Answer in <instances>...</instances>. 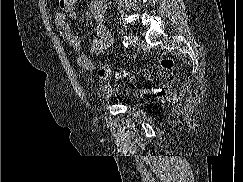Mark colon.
Masks as SVG:
<instances>
[{
  "instance_id": "1",
  "label": "colon",
  "mask_w": 243,
  "mask_h": 182,
  "mask_svg": "<svg viewBox=\"0 0 243 182\" xmlns=\"http://www.w3.org/2000/svg\"><path fill=\"white\" fill-rule=\"evenodd\" d=\"M159 64L164 70H171L174 67V63L170 58H162ZM98 76L102 79H110L114 76V73L108 66L104 65L98 69Z\"/></svg>"
}]
</instances>
